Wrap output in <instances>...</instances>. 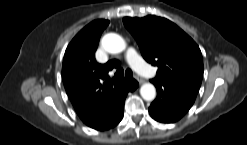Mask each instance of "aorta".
Returning <instances> with one entry per match:
<instances>
[{"instance_id": "aorta-1", "label": "aorta", "mask_w": 247, "mask_h": 145, "mask_svg": "<svg viewBox=\"0 0 247 145\" xmlns=\"http://www.w3.org/2000/svg\"><path fill=\"white\" fill-rule=\"evenodd\" d=\"M102 46L105 51L116 54L126 48V43L120 35L108 33L102 38ZM140 94L144 100L152 101L156 97V89L153 84L145 83L140 88Z\"/></svg>"}]
</instances>
